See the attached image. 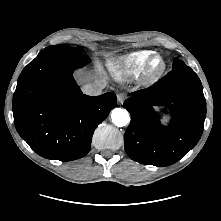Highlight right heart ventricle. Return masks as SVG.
I'll return each instance as SVG.
<instances>
[{
    "label": "right heart ventricle",
    "instance_id": "obj_1",
    "mask_svg": "<svg viewBox=\"0 0 221 221\" xmlns=\"http://www.w3.org/2000/svg\"><path fill=\"white\" fill-rule=\"evenodd\" d=\"M152 54L150 50L132 51L109 60L108 68L117 79H127L142 72Z\"/></svg>",
    "mask_w": 221,
    "mask_h": 221
}]
</instances>
